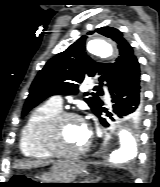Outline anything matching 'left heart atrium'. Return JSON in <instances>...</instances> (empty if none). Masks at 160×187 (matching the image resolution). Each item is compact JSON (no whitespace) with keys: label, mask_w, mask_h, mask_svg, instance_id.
I'll return each mask as SVG.
<instances>
[{"label":"left heart atrium","mask_w":160,"mask_h":187,"mask_svg":"<svg viewBox=\"0 0 160 187\" xmlns=\"http://www.w3.org/2000/svg\"><path fill=\"white\" fill-rule=\"evenodd\" d=\"M85 131H86L87 136H88V138H89V136H90V129H89V127L86 126V125H85Z\"/></svg>","instance_id":"1"}]
</instances>
